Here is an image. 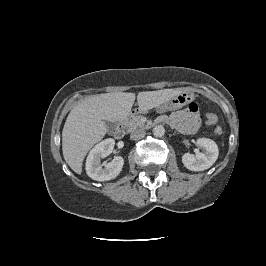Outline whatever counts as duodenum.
I'll return each mask as SVG.
<instances>
[{
    "label": "duodenum",
    "instance_id": "duodenum-1",
    "mask_svg": "<svg viewBox=\"0 0 266 266\" xmlns=\"http://www.w3.org/2000/svg\"><path fill=\"white\" fill-rule=\"evenodd\" d=\"M136 113V111H135ZM114 135L117 138H121L124 135V125L122 123L118 124L115 131H114Z\"/></svg>",
    "mask_w": 266,
    "mask_h": 266
}]
</instances>
